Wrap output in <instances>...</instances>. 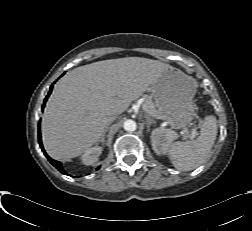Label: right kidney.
I'll return each instance as SVG.
<instances>
[{
    "label": "right kidney",
    "instance_id": "1",
    "mask_svg": "<svg viewBox=\"0 0 252 231\" xmlns=\"http://www.w3.org/2000/svg\"><path fill=\"white\" fill-rule=\"evenodd\" d=\"M102 153V148L95 146L85 151L81 156V161L85 165H92L98 161L99 156Z\"/></svg>",
    "mask_w": 252,
    "mask_h": 231
}]
</instances>
